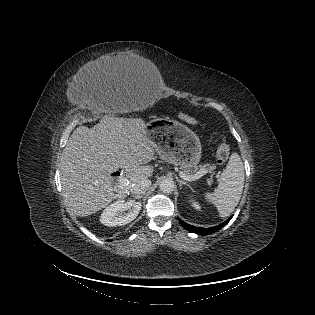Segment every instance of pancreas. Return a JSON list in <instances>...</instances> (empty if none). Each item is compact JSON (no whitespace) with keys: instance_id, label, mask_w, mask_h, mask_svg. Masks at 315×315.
Instances as JSON below:
<instances>
[{"instance_id":"cf45deb5","label":"pancreas","mask_w":315,"mask_h":315,"mask_svg":"<svg viewBox=\"0 0 315 315\" xmlns=\"http://www.w3.org/2000/svg\"><path fill=\"white\" fill-rule=\"evenodd\" d=\"M201 170V169H203V170H205V171H207V172H209V173H212L215 169H216V167H215V165H210V164H204L203 166H196V167H194V170L193 171H196V170ZM190 170H186V169H184V173L185 174H187V175H189L190 174Z\"/></svg>"}]
</instances>
